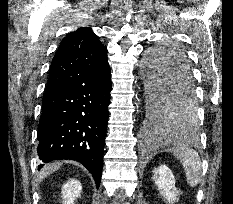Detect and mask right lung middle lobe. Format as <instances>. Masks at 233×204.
<instances>
[{
    "label": "right lung middle lobe",
    "instance_id": "dd1d6c3e",
    "mask_svg": "<svg viewBox=\"0 0 233 204\" xmlns=\"http://www.w3.org/2000/svg\"><path fill=\"white\" fill-rule=\"evenodd\" d=\"M46 124V120L43 119V118H40V121H39V130L42 129Z\"/></svg>",
    "mask_w": 233,
    "mask_h": 204
}]
</instances>
